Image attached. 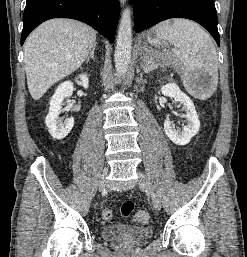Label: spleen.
I'll list each match as a JSON object with an SVG mask.
<instances>
[{
    "instance_id": "1",
    "label": "spleen",
    "mask_w": 247,
    "mask_h": 257,
    "mask_svg": "<svg viewBox=\"0 0 247 257\" xmlns=\"http://www.w3.org/2000/svg\"><path fill=\"white\" fill-rule=\"evenodd\" d=\"M152 31L154 36L148 38L150 44L159 46L161 40H167L179 49L186 89L190 90V79L193 77L201 73L209 74L211 80L208 88L198 94L200 99L209 98L218 83V57L211 37L198 24L187 19L164 21Z\"/></svg>"
}]
</instances>
